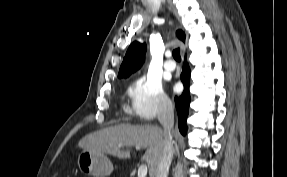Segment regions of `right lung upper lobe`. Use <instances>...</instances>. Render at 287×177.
I'll return each instance as SVG.
<instances>
[{
	"label": "right lung upper lobe",
	"mask_w": 287,
	"mask_h": 177,
	"mask_svg": "<svg viewBox=\"0 0 287 177\" xmlns=\"http://www.w3.org/2000/svg\"><path fill=\"white\" fill-rule=\"evenodd\" d=\"M177 37L185 41V35L181 30L176 32ZM146 52V44L134 41L128 48L123 62L120 66L118 77H128L131 73L138 70L144 62V56Z\"/></svg>",
	"instance_id": "obj_1"
}]
</instances>
